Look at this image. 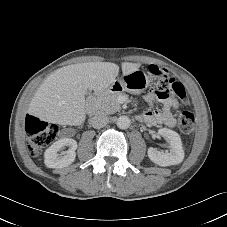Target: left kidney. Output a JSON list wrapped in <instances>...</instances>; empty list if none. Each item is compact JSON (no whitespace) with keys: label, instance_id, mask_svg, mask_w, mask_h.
<instances>
[{"label":"left kidney","instance_id":"left-kidney-1","mask_svg":"<svg viewBox=\"0 0 227 227\" xmlns=\"http://www.w3.org/2000/svg\"><path fill=\"white\" fill-rule=\"evenodd\" d=\"M158 134L167 140L170 152L158 151L157 149L150 147L148 149L149 159L155 164L163 167L181 163L184 159V150L179 134L168 128L159 129Z\"/></svg>","mask_w":227,"mask_h":227}]
</instances>
